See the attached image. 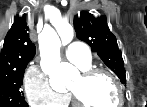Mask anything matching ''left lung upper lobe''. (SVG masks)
Listing matches in <instances>:
<instances>
[{
  "instance_id": "1",
  "label": "left lung upper lobe",
  "mask_w": 147,
  "mask_h": 107,
  "mask_svg": "<svg viewBox=\"0 0 147 107\" xmlns=\"http://www.w3.org/2000/svg\"><path fill=\"white\" fill-rule=\"evenodd\" d=\"M77 38L86 42L92 51L97 52L102 61L126 84L125 68L116 37L110 32L105 17H94L82 11L74 18Z\"/></svg>"
}]
</instances>
